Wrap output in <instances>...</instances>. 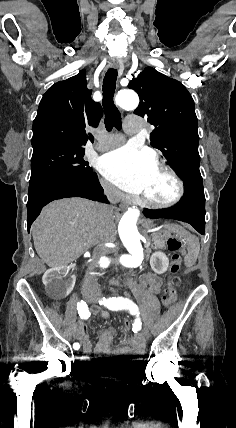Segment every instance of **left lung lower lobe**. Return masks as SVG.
<instances>
[{
  "instance_id": "0a47b994",
  "label": "left lung lower lobe",
  "mask_w": 236,
  "mask_h": 428,
  "mask_svg": "<svg viewBox=\"0 0 236 428\" xmlns=\"http://www.w3.org/2000/svg\"><path fill=\"white\" fill-rule=\"evenodd\" d=\"M143 214L151 219H175L191 224L200 234L205 233V196L202 181L184 182L182 201L162 210L145 209Z\"/></svg>"
}]
</instances>
